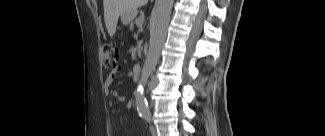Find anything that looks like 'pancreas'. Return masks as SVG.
Returning <instances> with one entry per match:
<instances>
[{
  "label": "pancreas",
  "instance_id": "cf45deb5",
  "mask_svg": "<svg viewBox=\"0 0 325 136\" xmlns=\"http://www.w3.org/2000/svg\"><path fill=\"white\" fill-rule=\"evenodd\" d=\"M135 24H136V21H135ZM129 25H130L131 27H133V28L135 27V26H134V23H132V22H131ZM131 27L128 28V30H127L128 33H130V34L133 33V31H134L133 28H131ZM132 36H133V38L136 39V38H138L139 35H138V33L135 32V33H133Z\"/></svg>",
  "mask_w": 325,
  "mask_h": 136
}]
</instances>
